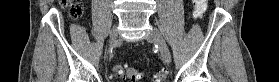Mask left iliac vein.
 <instances>
[{
    "mask_svg": "<svg viewBox=\"0 0 279 82\" xmlns=\"http://www.w3.org/2000/svg\"><path fill=\"white\" fill-rule=\"evenodd\" d=\"M148 39L152 40L155 44L158 45L161 57L164 60V62L170 63L171 54L166 44V41L164 40L160 31L157 28L152 27L150 33L148 34Z\"/></svg>",
    "mask_w": 279,
    "mask_h": 82,
    "instance_id": "left-iliac-vein-1",
    "label": "left iliac vein"
}]
</instances>
